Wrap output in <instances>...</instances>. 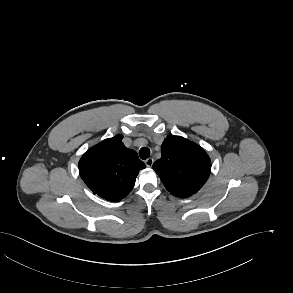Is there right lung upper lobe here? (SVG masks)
I'll return each instance as SVG.
<instances>
[{
    "label": "right lung upper lobe",
    "instance_id": "obj_1",
    "mask_svg": "<svg viewBox=\"0 0 293 293\" xmlns=\"http://www.w3.org/2000/svg\"><path fill=\"white\" fill-rule=\"evenodd\" d=\"M118 134L89 149L79 161L80 176L98 196L120 201L132 190L145 164L137 153L122 143Z\"/></svg>",
    "mask_w": 293,
    "mask_h": 293
}]
</instances>
